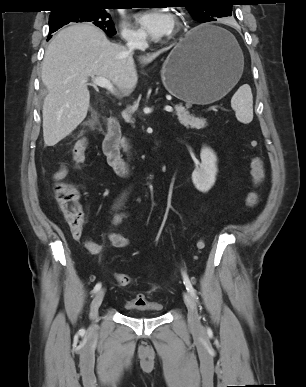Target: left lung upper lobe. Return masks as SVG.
Masks as SVG:
<instances>
[{"label":"left lung upper lobe","mask_w":306,"mask_h":387,"mask_svg":"<svg viewBox=\"0 0 306 387\" xmlns=\"http://www.w3.org/2000/svg\"><path fill=\"white\" fill-rule=\"evenodd\" d=\"M232 0H183L184 7L200 22L216 21V18L231 16Z\"/></svg>","instance_id":"left-lung-upper-lobe-1"}]
</instances>
